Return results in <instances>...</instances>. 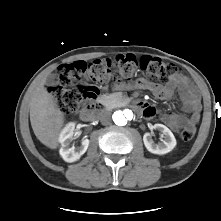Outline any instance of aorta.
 <instances>
[{
	"instance_id": "762f6f07",
	"label": "aorta",
	"mask_w": 221,
	"mask_h": 221,
	"mask_svg": "<svg viewBox=\"0 0 221 221\" xmlns=\"http://www.w3.org/2000/svg\"><path fill=\"white\" fill-rule=\"evenodd\" d=\"M133 112L130 109H125L123 111H116L113 114V121L118 126H124L127 121L132 120Z\"/></svg>"
}]
</instances>
